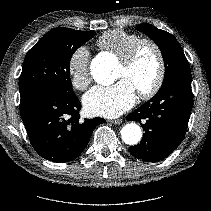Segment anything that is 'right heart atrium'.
<instances>
[{
  "label": "right heart atrium",
  "instance_id": "right-heart-atrium-1",
  "mask_svg": "<svg viewBox=\"0 0 211 211\" xmlns=\"http://www.w3.org/2000/svg\"><path fill=\"white\" fill-rule=\"evenodd\" d=\"M67 71L74 88L84 90L89 86L92 76L90 72V52L86 46H79L70 54Z\"/></svg>",
  "mask_w": 211,
  "mask_h": 211
}]
</instances>
